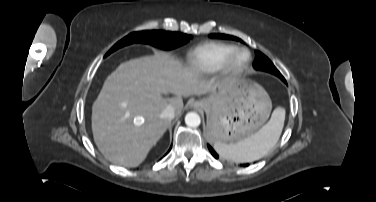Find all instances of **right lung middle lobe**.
<instances>
[{
    "label": "right lung middle lobe",
    "instance_id": "obj_1",
    "mask_svg": "<svg viewBox=\"0 0 376 202\" xmlns=\"http://www.w3.org/2000/svg\"><path fill=\"white\" fill-rule=\"evenodd\" d=\"M191 36L180 32L169 31H140L133 32L116 43L105 55L132 43H146L162 49H174L186 44Z\"/></svg>",
    "mask_w": 376,
    "mask_h": 202
}]
</instances>
